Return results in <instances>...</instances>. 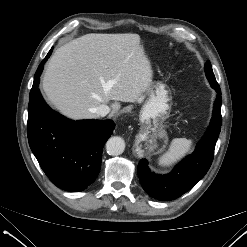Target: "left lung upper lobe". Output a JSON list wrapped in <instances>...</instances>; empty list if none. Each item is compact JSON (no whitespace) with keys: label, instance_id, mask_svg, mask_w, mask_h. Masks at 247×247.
I'll use <instances>...</instances> for the list:
<instances>
[{"label":"left lung upper lobe","instance_id":"1","mask_svg":"<svg viewBox=\"0 0 247 247\" xmlns=\"http://www.w3.org/2000/svg\"><path fill=\"white\" fill-rule=\"evenodd\" d=\"M205 73H206V76H207L210 84H218L216 79H215L210 61H207L205 64Z\"/></svg>","mask_w":247,"mask_h":247}]
</instances>
